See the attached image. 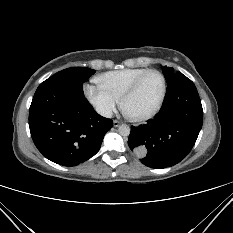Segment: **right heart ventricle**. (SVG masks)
<instances>
[{"mask_svg":"<svg viewBox=\"0 0 233 233\" xmlns=\"http://www.w3.org/2000/svg\"><path fill=\"white\" fill-rule=\"evenodd\" d=\"M148 68H126L109 71L99 75L96 82L108 92L120 99L127 88Z\"/></svg>","mask_w":233,"mask_h":233,"instance_id":"1","label":"right heart ventricle"}]
</instances>
